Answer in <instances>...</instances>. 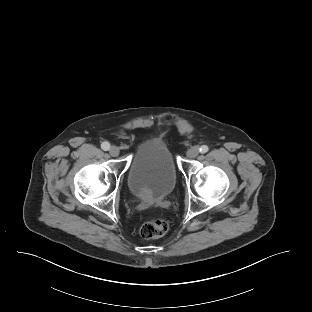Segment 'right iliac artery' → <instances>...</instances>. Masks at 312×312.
<instances>
[{"label": "right iliac artery", "instance_id": "right-iliac-artery-1", "mask_svg": "<svg viewBox=\"0 0 312 312\" xmlns=\"http://www.w3.org/2000/svg\"><path fill=\"white\" fill-rule=\"evenodd\" d=\"M101 148H102L103 150L107 151V150H109V148H110V144H109L108 142H103V143L101 144Z\"/></svg>", "mask_w": 312, "mask_h": 312}]
</instances>
